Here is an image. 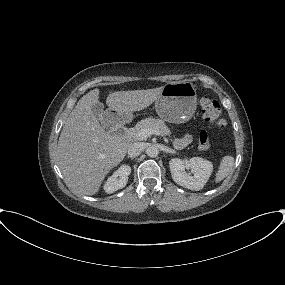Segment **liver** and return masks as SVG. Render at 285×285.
Here are the masks:
<instances>
[{
	"instance_id": "liver-1",
	"label": "liver",
	"mask_w": 285,
	"mask_h": 285,
	"mask_svg": "<svg viewBox=\"0 0 285 285\" xmlns=\"http://www.w3.org/2000/svg\"><path fill=\"white\" fill-rule=\"evenodd\" d=\"M162 87L147 90L116 91L108 95L107 106L118 114L149 107ZM99 102V89L84 95L66 119L61 131L57 161L68 185L84 195H94L109 171L125 157L130 142L108 134L92 112Z\"/></svg>"
}]
</instances>
